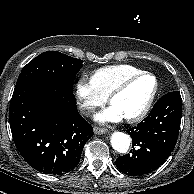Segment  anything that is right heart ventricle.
I'll use <instances>...</instances> for the list:
<instances>
[{"mask_svg":"<svg viewBox=\"0 0 194 194\" xmlns=\"http://www.w3.org/2000/svg\"><path fill=\"white\" fill-rule=\"evenodd\" d=\"M141 71L132 65H111L94 71L90 80L97 92L102 97L107 98L121 81Z\"/></svg>","mask_w":194,"mask_h":194,"instance_id":"obj_1","label":"right heart ventricle"}]
</instances>
